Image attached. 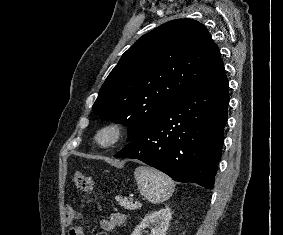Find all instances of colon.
<instances>
[{"mask_svg":"<svg viewBox=\"0 0 283 235\" xmlns=\"http://www.w3.org/2000/svg\"><path fill=\"white\" fill-rule=\"evenodd\" d=\"M73 181L76 187L85 193H92L95 190L92 179L80 171L73 173Z\"/></svg>","mask_w":283,"mask_h":235,"instance_id":"5ec220e1","label":"colon"}]
</instances>
